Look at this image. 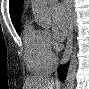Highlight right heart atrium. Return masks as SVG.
Instances as JSON below:
<instances>
[{
    "instance_id": "obj_1",
    "label": "right heart atrium",
    "mask_w": 89,
    "mask_h": 89,
    "mask_svg": "<svg viewBox=\"0 0 89 89\" xmlns=\"http://www.w3.org/2000/svg\"><path fill=\"white\" fill-rule=\"evenodd\" d=\"M42 44H43V48L46 51V53L52 55L53 39L49 31L47 30L42 31Z\"/></svg>"
}]
</instances>
